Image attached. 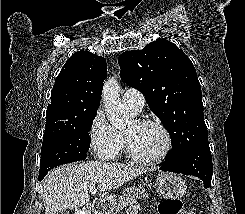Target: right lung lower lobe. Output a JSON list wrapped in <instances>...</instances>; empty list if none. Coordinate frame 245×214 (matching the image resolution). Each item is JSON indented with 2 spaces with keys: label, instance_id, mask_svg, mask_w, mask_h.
<instances>
[{
  "label": "right lung lower lobe",
  "instance_id": "1",
  "mask_svg": "<svg viewBox=\"0 0 245 214\" xmlns=\"http://www.w3.org/2000/svg\"><path fill=\"white\" fill-rule=\"evenodd\" d=\"M45 175H41L39 176V180H42L44 178Z\"/></svg>",
  "mask_w": 245,
  "mask_h": 214
}]
</instances>
